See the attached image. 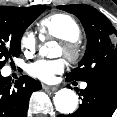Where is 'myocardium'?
Segmentation results:
<instances>
[{
  "instance_id": "1",
  "label": "myocardium",
  "mask_w": 117,
  "mask_h": 117,
  "mask_svg": "<svg viewBox=\"0 0 117 117\" xmlns=\"http://www.w3.org/2000/svg\"><path fill=\"white\" fill-rule=\"evenodd\" d=\"M63 54L71 61L77 62L81 58V48L77 41L61 40Z\"/></svg>"
}]
</instances>
